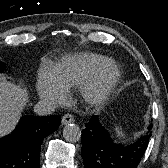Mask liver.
I'll list each match as a JSON object with an SVG mask.
<instances>
[{
  "mask_svg": "<svg viewBox=\"0 0 168 168\" xmlns=\"http://www.w3.org/2000/svg\"><path fill=\"white\" fill-rule=\"evenodd\" d=\"M27 95L24 88L0 79V137L15 127L22 108L28 102Z\"/></svg>",
  "mask_w": 168,
  "mask_h": 168,
  "instance_id": "liver-1",
  "label": "liver"
}]
</instances>
